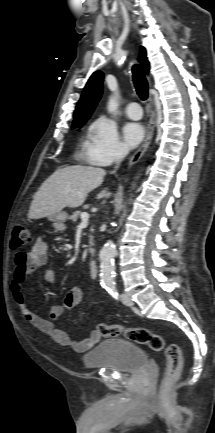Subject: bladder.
I'll return each instance as SVG.
<instances>
[{"label": "bladder", "instance_id": "obj_1", "mask_svg": "<svg viewBox=\"0 0 215 433\" xmlns=\"http://www.w3.org/2000/svg\"><path fill=\"white\" fill-rule=\"evenodd\" d=\"M86 368H105L136 373L148 365L147 354L137 345L119 338L99 342L83 357Z\"/></svg>", "mask_w": 215, "mask_h": 433}]
</instances>
